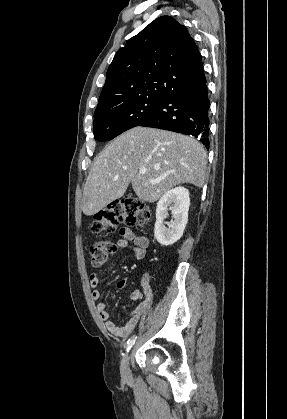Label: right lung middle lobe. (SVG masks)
<instances>
[{"label": "right lung middle lobe", "mask_w": 287, "mask_h": 419, "mask_svg": "<svg viewBox=\"0 0 287 419\" xmlns=\"http://www.w3.org/2000/svg\"><path fill=\"white\" fill-rule=\"evenodd\" d=\"M163 98H142L128 101L94 114V138L109 141L124 131L139 126L155 112Z\"/></svg>", "instance_id": "right-lung-middle-lobe-1"}]
</instances>
